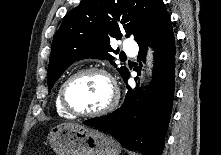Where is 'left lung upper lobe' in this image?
Instances as JSON below:
<instances>
[{"mask_svg": "<svg viewBox=\"0 0 221 155\" xmlns=\"http://www.w3.org/2000/svg\"><path fill=\"white\" fill-rule=\"evenodd\" d=\"M162 3V0H81L78 7L66 14L54 35L47 76L49 90L76 60L91 57L113 63V57L107 53L115 52L110 38L120 39L125 33L137 40ZM117 70L122 77L128 73L124 66Z\"/></svg>", "mask_w": 221, "mask_h": 155, "instance_id": "5c2ea615", "label": "left lung upper lobe"}]
</instances>
